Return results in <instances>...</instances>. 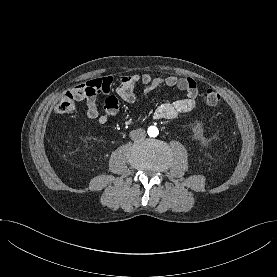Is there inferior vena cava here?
<instances>
[{
	"label": "inferior vena cava",
	"instance_id": "inferior-vena-cava-1",
	"mask_svg": "<svg viewBox=\"0 0 277 277\" xmlns=\"http://www.w3.org/2000/svg\"><path fill=\"white\" fill-rule=\"evenodd\" d=\"M129 136L132 140H139V139L145 138L146 132H145L144 129L139 128V129H136V130H132L130 132Z\"/></svg>",
	"mask_w": 277,
	"mask_h": 277
}]
</instances>
